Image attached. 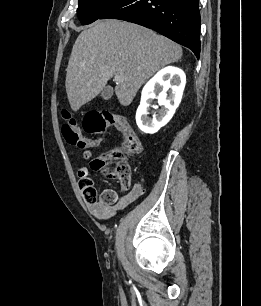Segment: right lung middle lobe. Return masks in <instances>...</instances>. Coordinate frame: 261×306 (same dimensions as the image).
<instances>
[{"label": "right lung middle lobe", "mask_w": 261, "mask_h": 306, "mask_svg": "<svg viewBox=\"0 0 261 306\" xmlns=\"http://www.w3.org/2000/svg\"><path fill=\"white\" fill-rule=\"evenodd\" d=\"M117 0H79L77 14L81 24L96 21Z\"/></svg>", "instance_id": "1"}]
</instances>
